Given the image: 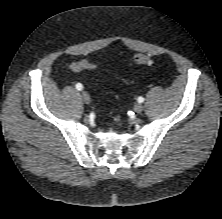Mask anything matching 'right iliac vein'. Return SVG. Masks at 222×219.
<instances>
[{
  "label": "right iliac vein",
  "mask_w": 222,
  "mask_h": 219,
  "mask_svg": "<svg viewBox=\"0 0 222 219\" xmlns=\"http://www.w3.org/2000/svg\"><path fill=\"white\" fill-rule=\"evenodd\" d=\"M81 97H82V100H83L85 103H87V104L90 103L91 98H90L89 94H88L86 91H82V92H81Z\"/></svg>",
  "instance_id": "1"
}]
</instances>
